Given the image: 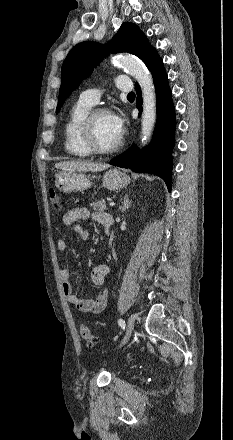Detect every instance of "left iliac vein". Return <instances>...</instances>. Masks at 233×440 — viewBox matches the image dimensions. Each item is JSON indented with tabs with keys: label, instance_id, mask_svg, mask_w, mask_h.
I'll use <instances>...</instances> for the list:
<instances>
[{
	"label": "left iliac vein",
	"instance_id": "4c4485c4",
	"mask_svg": "<svg viewBox=\"0 0 233 440\" xmlns=\"http://www.w3.org/2000/svg\"><path fill=\"white\" fill-rule=\"evenodd\" d=\"M134 325H135V316H134V315H131V316L128 318V324H127V335H126L125 339L122 341V343H121L120 346H123V345L128 341V339H129V337L131 336V333H132V331H133V329H134Z\"/></svg>",
	"mask_w": 233,
	"mask_h": 440
}]
</instances>
